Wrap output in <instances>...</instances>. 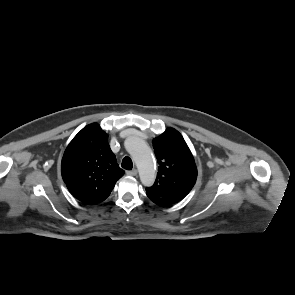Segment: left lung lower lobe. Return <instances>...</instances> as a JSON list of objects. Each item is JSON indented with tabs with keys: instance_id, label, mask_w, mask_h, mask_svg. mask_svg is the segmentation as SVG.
<instances>
[{
	"instance_id": "0a47b994",
	"label": "left lung lower lobe",
	"mask_w": 295,
	"mask_h": 295,
	"mask_svg": "<svg viewBox=\"0 0 295 295\" xmlns=\"http://www.w3.org/2000/svg\"><path fill=\"white\" fill-rule=\"evenodd\" d=\"M147 196L153 203H155L156 205L161 206V207H168V206L175 204L171 201L165 200V199H163L157 195L151 194V193H147Z\"/></svg>"
}]
</instances>
